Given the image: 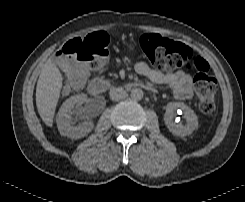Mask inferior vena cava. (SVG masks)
Listing matches in <instances>:
<instances>
[{
  "mask_svg": "<svg viewBox=\"0 0 245 202\" xmlns=\"http://www.w3.org/2000/svg\"><path fill=\"white\" fill-rule=\"evenodd\" d=\"M109 94H110V98L115 101L121 100L126 97V91L120 87L111 88Z\"/></svg>",
  "mask_w": 245,
  "mask_h": 202,
  "instance_id": "obj_1",
  "label": "inferior vena cava"
}]
</instances>
